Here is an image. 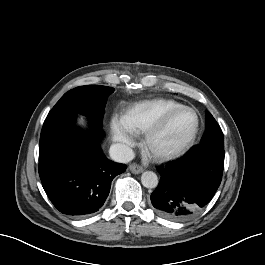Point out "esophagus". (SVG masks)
<instances>
[{"mask_svg":"<svg viewBox=\"0 0 265 265\" xmlns=\"http://www.w3.org/2000/svg\"><path fill=\"white\" fill-rule=\"evenodd\" d=\"M129 170L134 174H139L143 171V167L138 164L133 163L129 165Z\"/></svg>","mask_w":265,"mask_h":265,"instance_id":"34e87169","label":"esophagus"}]
</instances>
